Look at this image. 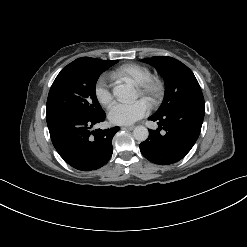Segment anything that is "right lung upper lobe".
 Instances as JSON below:
<instances>
[{
	"instance_id": "1",
	"label": "right lung upper lobe",
	"mask_w": 247,
	"mask_h": 247,
	"mask_svg": "<svg viewBox=\"0 0 247 247\" xmlns=\"http://www.w3.org/2000/svg\"><path fill=\"white\" fill-rule=\"evenodd\" d=\"M88 59H90V57H81L76 59L75 61L88 60Z\"/></svg>"
}]
</instances>
